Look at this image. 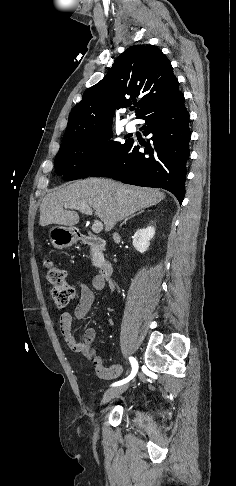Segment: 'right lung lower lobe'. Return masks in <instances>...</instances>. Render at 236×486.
I'll return each mask as SVG.
<instances>
[{"label":"right lung lower lobe","instance_id":"1","mask_svg":"<svg viewBox=\"0 0 236 486\" xmlns=\"http://www.w3.org/2000/svg\"><path fill=\"white\" fill-rule=\"evenodd\" d=\"M184 95L155 103L140 119L146 121L144 135L150 141L139 145L131 140L91 177H110L124 183L164 188L172 192L180 203L185 195L186 161L189 158V112Z\"/></svg>","mask_w":236,"mask_h":486}]
</instances>
